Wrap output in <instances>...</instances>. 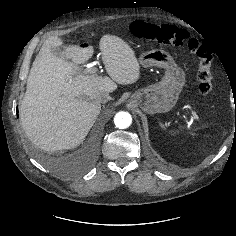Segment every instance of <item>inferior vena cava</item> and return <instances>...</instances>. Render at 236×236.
<instances>
[{"label":"inferior vena cava","mask_w":236,"mask_h":236,"mask_svg":"<svg viewBox=\"0 0 236 236\" xmlns=\"http://www.w3.org/2000/svg\"><path fill=\"white\" fill-rule=\"evenodd\" d=\"M98 99L100 102L105 103V102L111 100V97L108 93H102L99 95Z\"/></svg>","instance_id":"602c4592"}]
</instances>
